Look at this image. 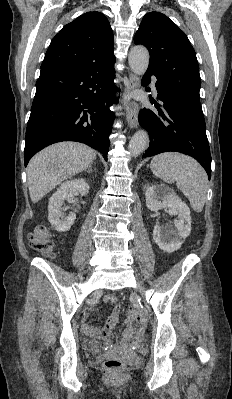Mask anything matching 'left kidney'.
Instances as JSON below:
<instances>
[{
	"label": "left kidney",
	"mask_w": 232,
	"mask_h": 399,
	"mask_svg": "<svg viewBox=\"0 0 232 399\" xmlns=\"http://www.w3.org/2000/svg\"><path fill=\"white\" fill-rule=\"evenodd\" d=\"M146 205L151 211H158L162 207H168L169 213L178 215L173 225H158L155 223L153 239L163 251H176L181 247L185 237L191 231L190 209L184 201L167 190L165 186H148L146 188Z\"/></svg>",
	"instance_id": "5707ae66"
}]
</instances>
